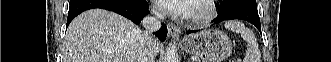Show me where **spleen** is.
Listing matches in <instances>:
<instances>
[{"instance_id": "spleen-1", "label": "spleen", "mask_w": 331, "mask_h": 62, "mask_svg": "<svg viewBox=\"0 0 331 62\" xmlns=\"http://www.w3.org/2000/svg\"><path fill=\"white\" fill-rule=\"evenodd\" d=\"M225 28L236 33H240L242 39L247 42V50L245 53L244 62H260V51L254 33L246 28L244 24L238 21H228L225 23Z\"/></svg>"}]
</instances>
